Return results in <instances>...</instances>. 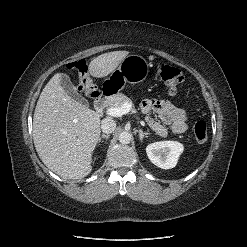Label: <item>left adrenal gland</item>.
Wrapping results in <instances>:
<instances>
[{
  "instance_id": "a2214340",
  "label": "left adrenal gland",
  "mask_w": 247,
  "mask_h": 247,
  "mask_svg": "<svg viewBox=\"0 0 247 247\" xmlns=\"http://www.w3.org/2000/svg\"><path fill=\"white\" fill-rule=\"evenodd\" d=\"M137 132L139 133V139H140V141L143 140L144 136H147V135L150 134V133L143 132L141 129L137 130Z\"/></svg>"
}]
</instances>
